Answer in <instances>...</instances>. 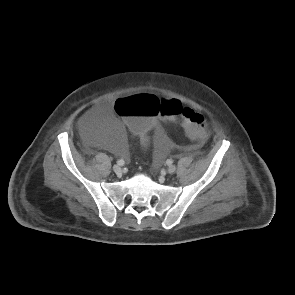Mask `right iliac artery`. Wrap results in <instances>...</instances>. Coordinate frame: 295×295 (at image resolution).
I'll return each mask as SVG.
<instances>
[{
	"instance_id": "obj_1",
	"label": "right iliac artery",
	"mask_w": 295,
	"mask_h": 295,
	"mask_svg": "<svg viewBox=\"0 0 295 295\" xmlns=\"http://www.w3.org/2000/svg\"><path fill=\"white\" fill-rule=\"evenodd\" d=\"M124 163H125V162H124L123 159H120V160L117 161V164H118V165H121V166L124 165Z\"/></svg>"
}]
</instances>
